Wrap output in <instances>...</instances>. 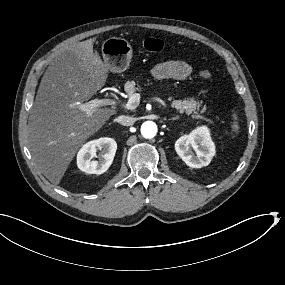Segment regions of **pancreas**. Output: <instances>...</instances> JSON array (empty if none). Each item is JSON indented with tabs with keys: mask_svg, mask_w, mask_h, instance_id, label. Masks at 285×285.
Returning <instances> with one entry per match:
<instances>
[{
	"mask_svg": "<svg viewBox=\"0 0 285 285\" xmlns=\"http://www.w3.org/2000/svg\"><path fill=\"white\" fill-rule=\"evenodd\" d=\"M123 89L126 93L136 94L142 92L143 87L137 81L126 80ZM169 99L171 100V107L175 108L180 114L185 112L191 114L196 110L197 101L194 99L177 100L173 97H170Z\"/></svg>",
	"mask_w": 285,
	"mask_h": 285,
	"instance_id": "1",
	"label": "pancreas"
}]
</instances>
